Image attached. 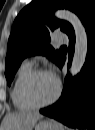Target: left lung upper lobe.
<instances>
[{
  "label": "left lung upper lobe",
  "mask_w": 95,
  "mask_h": 130,
  "mask_svg": "<svg viewBox=\"0 0 95 130\" xmlns=\"http://www.w3.org/2000/svg\"><path fill=\"white\" fill-rule=\"evenodd\" d=\"M66 8L76 13L82 22L95 12L94 0H34L15 19L8 41L5 76L8 85L22 60L30 55L42 54L57 63L61 53L49 45L50 34L59 29L68 36L74 34L73 27L58 20L53 12Z\"/></svg>",
  "instance_id": "5c2ea615"
}]
</instances>
